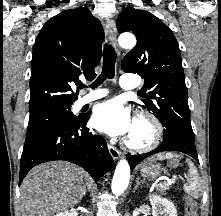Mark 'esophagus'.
Here are the masks:
<instances>
[{"label": "esophagus", "instance_id": "1", "mask_svg": "<svg viewBox=\"0 0 221 216\" xmlns=\"http://www.w3.org/2000/svg\"><path fill=\"white\" fill-rule=\"evenodd\" d=\"M116 32H117V30H116V25H115L114 20L108 18L106 21V34L108 36L110 43L114 46L115 50L118 51L119 46L117 43V33ZM107 147H108L110 155L112 156V158L114 160H117L120 158L121 153L115 146L108 143Z\"/></svg>", "mask_w": 221, "mask_h": 216}]
</instances>
